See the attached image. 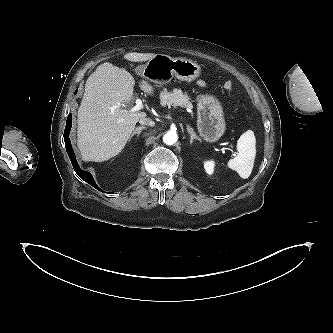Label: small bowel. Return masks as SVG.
Returning <instances> with one entry per match:
<instances>
[{
    "label": "small bowel",
    "instance_id": "obj_1",
    "mask_svg": "<svg viewBox=\"0 0 333 333\" xmlns=\"http://www.w3.org/2000/svg\"><path fill=\"white\" fill-rule=\"evenodd\" d=\"M201 85H204V83H203V82H201Z\"/></svg>",
    "mask_w": 333,
    "mask_h": 333
}]
</instances>
